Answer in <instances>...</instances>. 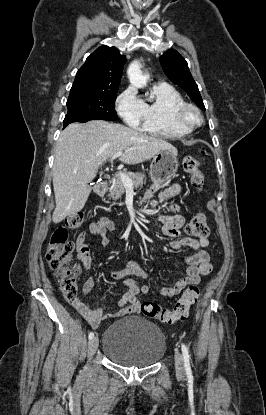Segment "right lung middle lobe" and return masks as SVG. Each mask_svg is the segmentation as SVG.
<instances>
[{"label": "right lung middle lobe", "instance_id": "dd1d6c3e", "mask_svg": "<svg viewBox=\"0 0 266 415\" xmlns=\"http://www.w3.org/2000/svg\"><path fill=\"white\" fill-rule=\"evenodd\" d=\"M117 91L113 92H72L67 100L68 113L64 127L73 122L89 120H116L114 108Z\"/></svg>", "mask_w": 266, "mask_h": 415}]
</instances>
